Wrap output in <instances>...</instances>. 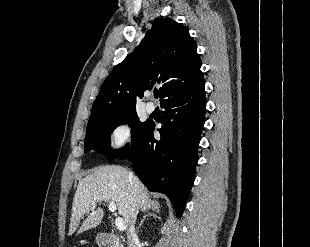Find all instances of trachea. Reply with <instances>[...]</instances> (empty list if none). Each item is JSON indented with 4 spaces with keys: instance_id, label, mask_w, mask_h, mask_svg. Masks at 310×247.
I'll use <instances>...</instances> for the list:
<instances>
[{
    "instance_id": "3493384b",
    "label": "trachea",
    "mask_w": 310,
    "mask_h": 247,
    "mask_svg": "<svg viewBox=\"0 0 310 247\" xmlns=\"http://www.w3.org/2000/svg\"><path fill=\"white\" fill-rule=\"evenodd\" d=\"M154 97L158 98L159 97V92H154Z\"/></svg>"
}]
</instances>
